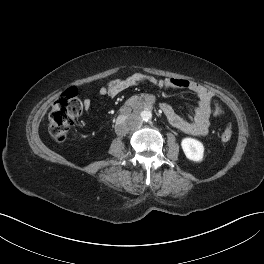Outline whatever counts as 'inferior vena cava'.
Wrapping results in <instances>:
<instances>
[{
    "instance_id": "1",
    "label": "inferior vena cava",
    "mask_w": 264,
    "mask_h": 264,
    "mask_svg": "<svg viewBox=\"0 0 264 264\" xmlns=\"http://www.w3.org/2000/svg\"><path fill=\"white\" fill-rule=\"evenodd\" d=\"M126 121H127V118H126L124 115L118 116V117L116 118V123H117L118 125H123V124L126 123Z\"/></svg>"
}]
</instances>
